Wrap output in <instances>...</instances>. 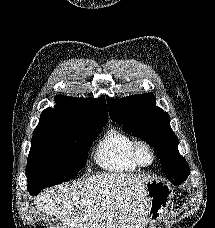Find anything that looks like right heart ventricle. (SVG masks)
Returning <instances> with one entry per match:
<instances>
[{
  "mask_svg": "<svg viewBox=\"0 0 215 228\" xmlns=\"http://www.w3.org/2000/svg\"><path fill=\"white\" fill-rule=\"evenodd\" d=\"M135 142V138L130 134L110 128L96 144L94 160L99 167L112 173L136 172L139 167L131 157V149Z\"/></svg>",
  "mask_w": 215,
  "mask_h": 228,
  "instance_id": "obj_1",
  "label": "right heart ventricle"
}]
</instances>
